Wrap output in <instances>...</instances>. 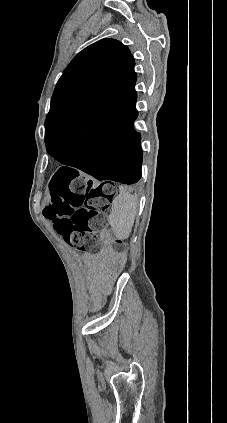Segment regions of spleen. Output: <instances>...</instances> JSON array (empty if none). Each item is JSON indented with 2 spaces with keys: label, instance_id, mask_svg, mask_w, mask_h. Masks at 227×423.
Listing matches in <instances>:
<instances>
[{
  "label": "spleen",
  "instance_id": "obj_1",
  "mask_svg": "<svg viewBox=\"0 0 227 423\" xmlns=\"http://www.w3.org/2000/svg\"><path fill=\"white\" fill-rule=\"evenodd\" d=\"M119 190L118 196L112 202L108 221L115 237L126 239L132 231L138 204L135 196H131L125 188L120 186Z\"/></svg>",
  "mask_w": 227,
  "mask_h": 423
}]
</instances>
